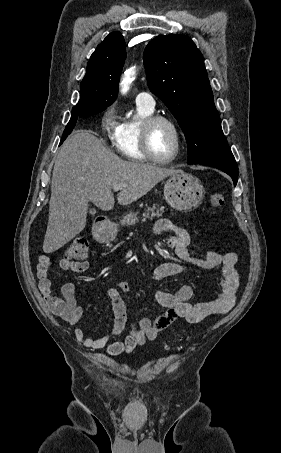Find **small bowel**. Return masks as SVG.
<instances>
[{"label":"small bowel","mask_w":281,"mask_h":453,"mask_svg":"<svg viewBox=\"0 0 281 453\" xmlns=\"http://www.w3.org/2000/svg\"><path fill=\"white\" fill-rule=\"evenodd\" d=\"M173 233L170 246L173 248L178 260L162 262L154 270L156 281L169 276L189 275L203 277L205 274L219 267L221 270L220 297L209 302H190L193 289L190 286H182L175 294L158 290L156 299L166 309L156 319H142L138 324L128 322L122 293H128L131 289L128 282H120L106 291V296L111 303L113 321L112 332L107 335L92 337L80 328L75 329L76 338L89 349H101L106 347L107 353L112 357H119L130 353L147 339L158 338L177 319H184L187 323L197 324L208 315H224L229 313L235 305L237 289L239 286L238 272L236 269L237 256L234 253L206 252L201 256H194L190 252L192 238L186 229L173 224L167 219L157 221L154 227V235ZM52 265L48 255L39 257L37 277L40 291L47 301L51 313L67 324L76 326L80 323L83 308L76 299V285L72 282L63 284V299L56 297L52 290L49 270ZM61 272L73 270L75 272H87L91 265L87 262H72L70 259H61L58 263ZM127 325H130L126 338L109 343L112 336L120 334Z\"/></svg>","instance_id":"small-bowel-1"}]
</instances>
